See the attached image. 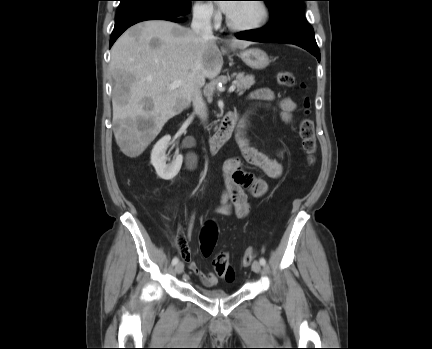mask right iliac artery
<instances>
[{
	"label": "right iliac artery",
	"mask_w": 432,
	"mask_h": 349,
	"mask_svg": "<svg viewBox=\"0 0 432 349\" xmlns=\"http://www.w3.org/2000/svg\"><path fill=\"white\" fill-rule=\"evenodd\" d=\"M179 259L177 257H174L172 260V264L176 265L178 263Z\"/></svg>",
	"instance_id": "1"
}]
</instances>
